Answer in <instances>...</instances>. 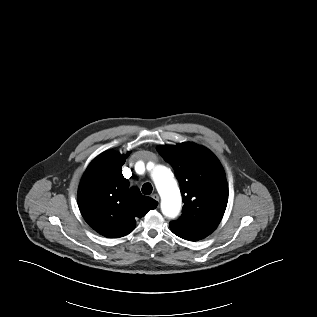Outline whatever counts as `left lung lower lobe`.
I'll return each mask as SVG.
<instances>
[{
    "instance_id": "left-lung-lower-lobe-1",
    "label": "left lung lower lobe",
    "mask_w": 317,
    "mask_h": 317,
    "mask_svg": "<svg viewBox=\"0 0 317 317\" xmlns=\"http://www.w3.org/2000/svg\"><path fill=\"white\" fill-rule=\"evenodd\" d=\"M217 226L212 225H196L182 224L179 229L171 228L172 232L189 241H198L210 235Z\"/></svg>"
}]
</instances>
